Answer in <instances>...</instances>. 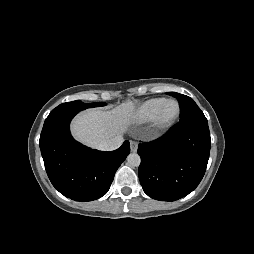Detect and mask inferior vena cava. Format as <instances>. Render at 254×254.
<instances>
[{
    "label": "inferior vena cava",
    "instance_id": "inferior-vena-cava-1",
    "mask_svg": "<svg viewBox=\"0 0 254 254\" xmlns=\"http://www.w3.org/2000/svg\"><path fill=\"white\" fill-rule=\"evenodd\" d=\"M123 143L122 136H115L107 141H103L98 145V149L102 151H112L118 149Z\"/></svg>",
    "mask_w": 254,
    "mask_h": 254
}]
</instances>
